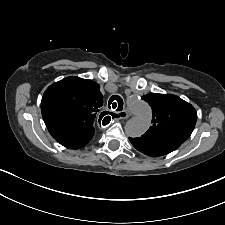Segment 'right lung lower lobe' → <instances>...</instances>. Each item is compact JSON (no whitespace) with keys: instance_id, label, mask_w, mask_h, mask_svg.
Masks as SVG:
<instances>
[{"instance_id":"98d812e1","label":"right lung lower lobe","mask_w":225,"mask_h":225,"mask_svg":"<svg viewBox=\"0 0 225 225\" xmlns=\"http://www.w3.org/2000/svg\"><path fill=\"white\" fill-rule=\"evenodd\" d=\"M51 136L67 149H79L91 140L94 131L78 129L70 126H47Z\"/></svg>"}]
</instances>
